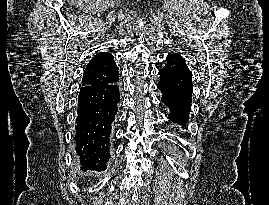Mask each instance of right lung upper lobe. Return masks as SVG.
<instances>
[{
	"label": "right lung upper lobe",
	"mask_w": 269,
	"mask_h": 205,
	"mask_svg": "<svg viewBox=\"0 0 269 205\" xmlns=\"http://www.w3.org/2000/svg\"><path fill=\"white\" fill-rule=\"evenodd\" d=\"M119 71L114 57L108 52H100L87 64L82 78V86H99L113 83Z\"/></svg>",
	"instance_id": "right-lung-upper-lobe-1"
}]
</instances>
